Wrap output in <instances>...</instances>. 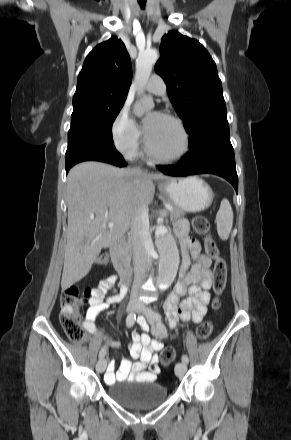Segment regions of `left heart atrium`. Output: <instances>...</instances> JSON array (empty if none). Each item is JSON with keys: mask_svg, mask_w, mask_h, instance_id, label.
I'll list each match as a JSON object with an SVG mask.
<instances>
[{"mask_svg": "<svg viewBox=\"0 0 291 440\" xmlns=\"http://www.w3.org/2000/svg\"><path fill=\"white\" fill-rule=\"evenodd\" d=\"M160 116H161V114L158 112L151 114V116L145 120V130L147 131L149 129L150 125L152 124V122Z\"/></svg>", "mask_w": 291, "mask_h": 440, "instance_id": "left-heart-atrium-1", "label": "left heart atrium"}]
</instances>
